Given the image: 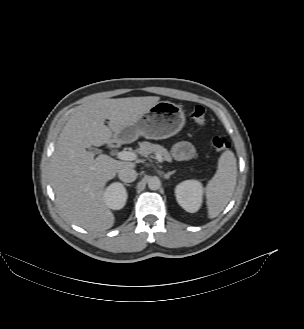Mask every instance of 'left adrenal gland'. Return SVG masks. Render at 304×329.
I'll return each mask as SVG.
<instances>
[{
  "label": "left adrenal gland",
  "mask_w": 304,
  "mask_h": 329,
  "mask_svg": "<svg viewBox=\"0 0 304 329\" xmlns=\"http://www.w3.org/2000/svg\"><path fill=\"white\" fill-rule=\"evenodd\" d=\"M175 172H176V171H171V172H168V173L164 174V178H165V179H169L170 176H171L172 174H174Z\"/></svg>",
  "instance_id": "obj_1"
}]
</instances>
